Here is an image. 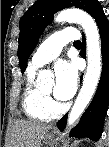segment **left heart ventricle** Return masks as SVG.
<instances>
[{
  "label": "left heart ventricle",
  "instance_id": "obj_1",
  "mask_svg": "<svg viewBox=\"0 0 109 147\" xmlns=\"http://www.w3.org/2000/svg\"><path fill=\"white\" fill-rule=\"evenodd\" d=\"M53 87H54V83H51L48 87H46V88L44 89V91L50 92V91L53 89Z\"/></svg>",
  "mask_w": 109,
  "mask_h": 147
}]
</instances>
